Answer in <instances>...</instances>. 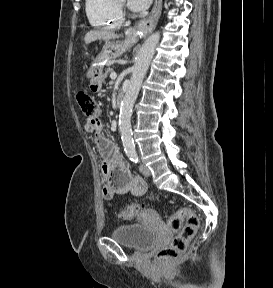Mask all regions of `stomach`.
<instances>
[{
	"label": "stomach",
	"mask_w": 273,
	"mask_h": 288,
	"mask_svg": "<svg viewBox=\"0 0 273 288\" xmlns=\"http://www.w3.org/2000/svg\"><path fill=\"white\" fill-rule=\"evenodd\" d=\"M131 46V43L128 40L125 41H110L107 42L100 53L93 58L91 68L88 72V77L91 78V86L94 92H99L101 89V80H102V70L104 65L121 56L128 47Z\"/></svg>",
	"instance_id": "obj_1"
}]
</instances>
